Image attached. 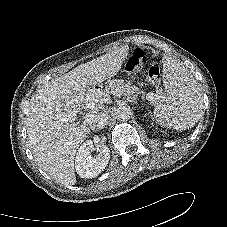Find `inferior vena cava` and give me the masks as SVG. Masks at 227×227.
Instances as JSON below:
<instances>
[{
    "instance_id": "inferior-vena-cava-1",
    "label": "inferior vena cava",
    "mask_w": 227,
    "mask_h": 227,
    "mask_svg": "<svg viewBox=\"0 0 227 227\" xmlns=\"http://www.w3.org/2000/svg\"><path fill=\"white\" fill-rule=\"evenodd\" d=\"M109 115L106 111H101L96 115H93L89 125L92 130H99L105 127L108 123Z\"/></svg>"
}]
</instances>
